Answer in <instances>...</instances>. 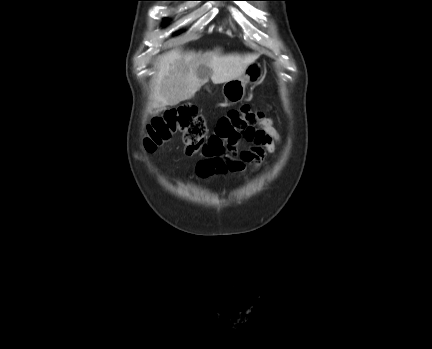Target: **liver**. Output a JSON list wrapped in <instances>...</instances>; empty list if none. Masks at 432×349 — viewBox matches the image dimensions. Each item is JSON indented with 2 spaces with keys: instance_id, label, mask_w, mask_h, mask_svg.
Returning a JSON list of instances; mask_svg holds the SVG:
<instances>
[{
  "instance_id": "liver-1",
  "label": "liver",
  "mask_w": 432,
  "mask_h": 349,
  "mask_svg": "<svg viewBox=\"0 0 432 349\" xmlns=\"http://www.w3.org/2000/svg\"><path fill=\"white\" fill-rule=\"evenodd\" d=\"M257 58L258 54H223L220 49L205 53L181 49L166 52L159 58L153 108L175 106L191 99L209 77L214 84L241 77Z\"/></svg>"
}]
</instances>
